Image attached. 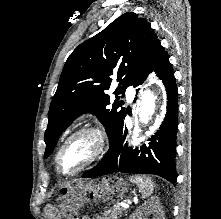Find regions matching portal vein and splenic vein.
<instances>
[{
	"mask_svg": "<svg viewBox=\"0 0 221 219\" xmlns=\"http://www.w3.org/2000/svg\"><path fill=\"white\" fill-rule=\"evenodd\" d=\"M128 203H131V202H130V201H128ZM119 205H120V206H122V207H127V206H128V204L123 203V202H122V203H119Z\"/></svg>",
	"mask_w": 221,
	"mask_h": 219,
	"instance_id": "18ae733b",
	"label": "portal vein and splenic vein"
}]
</instances>
